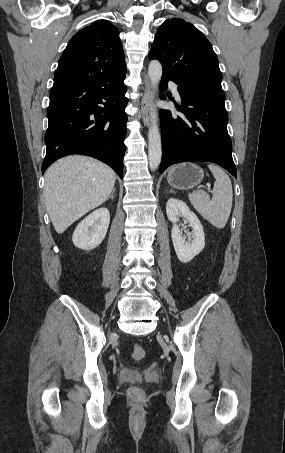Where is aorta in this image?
Listing matches in <instances>:
<instances>
[{
    "label": "aorta",
    "instance_id": "aorta-1",
    "mask_svg": "<svg viewBox=\"0 0 285 453\" xmlns=\"http://www.w3.org/2000/svg\"><path fill=\"white\" fill-rule=\"evenodd\" d=\"M162 66L158 60H152L148 67V75L154 91L157 90L162 76ZM151 126L148 131V158L151 170H156L161 162V135L157 124V112L152 110L150 113Z\"/></svg>",
    "mask_w": 285,
    "mask_h": 453
}]
</instances>
